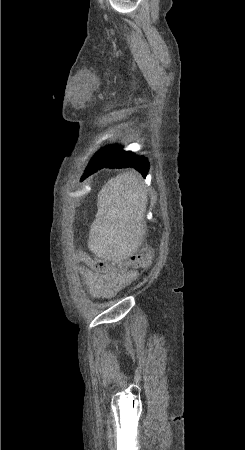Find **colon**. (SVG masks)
I'll return each instance as SVG.
<instances>
[{
  "mask_svg": "<svg viewBox=\"0 0 245 450\" xmlns=\"http://www.w3.org/2000/svg\"><path fill=\"white\" fill-rule=\"evenodd\" d=\"M78 257L85 261L95 274H104L110 269L117 272H123L127 266H131L136 269L148 267L151 263L152 249L141 248L134 252L128 260H117L111 265L108 264L105 259L89 257L82 251L78 253Z\"/></svg>",
  "mask_w": 245,
  "mask_h": 450,
  "instance_id": "obj_1",
  "label": "colon"
}]
</instances>
